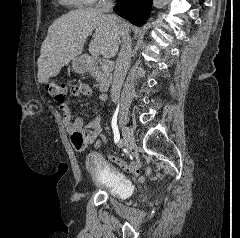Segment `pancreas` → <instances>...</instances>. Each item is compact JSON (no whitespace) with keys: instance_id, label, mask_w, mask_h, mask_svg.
Wrapping results in <instances>:
<instances>
[{"instance_id":"1","label":"pancreas","mask_w":240,"mask_h":238,"mask_svg":"<svg viewBox=\"0 0 240 238\" xmlns=\"http://www.w3.org/2000/svg\"><path fill=\"white\" fill-rule=\"evenodd\" d=\"M103 70V69H102ZM104 71V70H103ZM108 71V70H107ZM96 81L97 83H101L103 81V74H99L98 76H96Z\"/></svg>"}]
</instances>
